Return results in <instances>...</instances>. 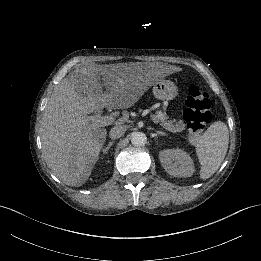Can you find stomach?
<instances>
[{"label": "stomach", "instance_id": "0dacf381", "mask_svg": "<svg viewBox=\"0 0 261 261\" xmlns=\"http://www.w3.org/2000/svg\"><path fill=\"white\" fill-rule=\"evenodd\" d=\"M179 92V87L170 80H162L153 88V93L159 100H173L179 96Z\"/></svg>", "mask_w": 261, "mask_h": 261}]
</instances>
